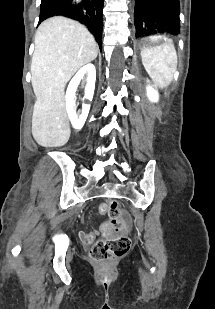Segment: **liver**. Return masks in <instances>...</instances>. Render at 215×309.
Instances as JSON below:
<instances>
[{
    "mask_svg": "<svg viewBox=\"0 0 215 309\" xmlns=\"http://www.w3.org/2000/svg\"><path fill=\"white\" fill-rule=\"evenodd\" d=\"M31 82L36 96L32 134L41 146H63L70 124L65 106V84L83 64L94 60L98 44L78 20L51 16L35 34Z\"/></svg>",
    "mask_w": 215,
    "mask_h": 309,
    "instance_id": "1",
    "label": "liver"
}]
</instances>
